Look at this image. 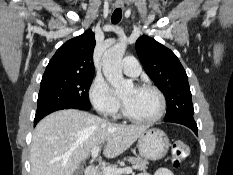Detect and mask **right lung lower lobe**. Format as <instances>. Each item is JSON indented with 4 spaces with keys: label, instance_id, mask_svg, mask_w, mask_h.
Wrapping results in <instances>:
<instances>
[{
    "label": "right lung lower lobe",
    "instance_id": "right-lung-lower-lobe-1",
    "mask_svg": "<svg viewBox=\"0 0 233 175\" xmlns=\"http://www.w3.org/2000/svg\"><path fill=\"white\" fill-rule=\"evenodd\" d=\"M69 108H74V109H81V110H87V109H83V108H76V107H62V108H52V109H49V110H46L42 113H39V114H36L35 115V119H34V126L43 118L45 117L46 115L54 112V111H57V110H61V109H69Z\"/></svg>",
    "mask_w": 233,
    "mask_h": 175
}]
</instances>
